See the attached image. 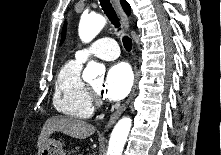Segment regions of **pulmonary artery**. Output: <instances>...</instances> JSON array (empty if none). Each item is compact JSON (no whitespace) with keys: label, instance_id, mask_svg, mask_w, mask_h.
<instances>
[{"label":"pulmonary artery","instance_id":"pulmonary-artery-1","mask_svg":"<svg viewBox=\"0 0 221 155\" xmlns=\"http://www.w3.org/2000/svg\"><path fill=\"white\" fill-rule=\"evenodd\" d=\"M117 42L109 37L95 41L89 48H84L76 52V59L84 62L89 57L95 56L103 60H113L119 56Z\"/></svg>","mask_w":221,"mask_h":155}]
</instances>
